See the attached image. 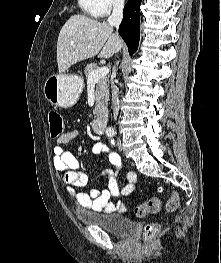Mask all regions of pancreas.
<instances>
[{"mask_svg":"<svg viewBox=\"0 0 221 263\" xmlns=\"http://www.w3.org/2000/svg\"><path fill=\"white\" fill-rule=\"evenodd\" d=\"M99 67L96 63H91L84 68V74L88 78L92 71L98 70ZM108 79L106 77L100 78L96 81V91H95V109L93 114L99 116L106 108L109 101V89H108Z\"/></svg>","mask_w":221,"mask_h":263,"instance_id":"1","label":"pancreas"}]
</instances>
